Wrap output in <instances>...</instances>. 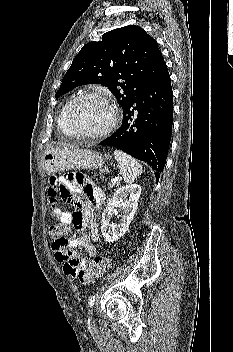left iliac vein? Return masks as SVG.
<instances>
[{"instance_id": "1", "label": "left iliac vein", "mask_w": 233, "mask_h": 352, "mask_svg": "<svg viewBox=\"0 0 233 352\" xmlns=\"http://www.w3.org/2000/svg\"><path fill=\"white\" fill-rule=\"evenodd\" d=\"M92 315H93V309H90V310H89V313H88V318H89V320L92 319Z\"/></svg>"}]
</instances>
